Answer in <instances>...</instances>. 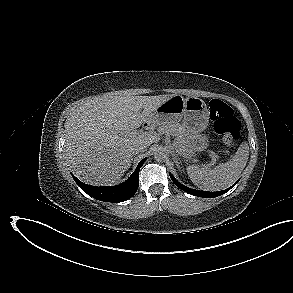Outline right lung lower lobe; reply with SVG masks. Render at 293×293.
<instances>
[{
    "label": "right lung lower lobe",
    "mask_w": 293,
    "mask_h": 293,
    "mask_svg": "<svg viewBox=\"0 0 293 293\" xmlns=\"http://www.w3.org/2000/svg\"><path fill=\"white\" fill-rule=\"evenodd\" d=\"M145 159L140 161L133 174L124 182L116 186L96 187L82 183L74 175L73 178L78 186L89 196L107 202H122L131 198L139 186V169L142 167Z\"/></svg>",
    "instance_id": "right-lung-lower-lobe-1"
}]
</instances>
